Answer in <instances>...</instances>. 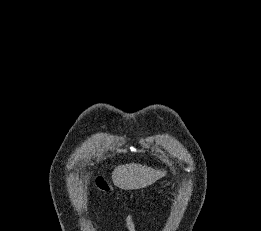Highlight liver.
I'll return each instance as SVG.
<instances>
[{"mask_svg": "<svg viewBox=\"0 0 261 231\" xmlns=\"http://www.w3.org/2000/svg\"><path fill=\"white\" fill-rule=\"evenodd\" d=\"M166 171L140 164L120 165L112 172L114 185L124 190L145 188L163 178Z\"/></svg>", "mask_w": 261, "mask_h": 231, "instance_id": "liver-1", "label": "liver"}]
</instances>
